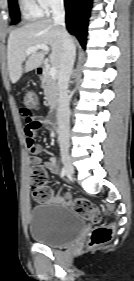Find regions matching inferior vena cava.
I'll return each instance as SVG.
<instances>
[{"label":"inferior vena cava","instance_id":"1","mask_svg":"<svg viewBox=\"0 0 134 281\" xmlns=\"http://www.w3.org/2000/svg\"><path fill=\"white\" fill-rule=\"evenodd\" d=\"M51 8L53 21L60 27L63 50L58 71V141L61 147L68 148L70 119L68 86L75 62L76 48L72 38L65 28V9L63 0H54Z\"/></svg>","mask_w":134,"mask_h":281}]
</instances>
